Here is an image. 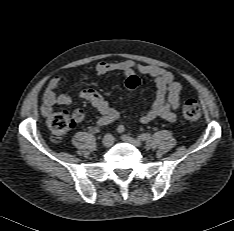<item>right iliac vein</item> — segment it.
<instances>
[{
    "mask_svg": "<svg viewBox=\"0 0 234 231\" xmlns=\"http://www.w3.org/2000/svg\"><path fill=\"white\" fill-rule=\"evenodd\" d=\"M114 143V137L111 134H106L103 137L102 144L104 147L108 148L111 147Z\"/></svg>",
    "mask_w": 234,
    "mask_h": 231,
    "instance_id": "63e3f726",
    "label": "right iliac vein"
}]
</instances>
